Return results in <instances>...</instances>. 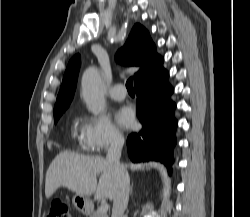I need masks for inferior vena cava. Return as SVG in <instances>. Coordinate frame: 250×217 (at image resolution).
I'll list each match as a JSON object with an SVG mask.
<instances>
[{
  "mask_svg": "<svg viewBox=\"0 0 250 217\" xmlns=\"http://www.w3.org/2000/svg\"><path fill=\"white\" fill-rule=\"evenodd\" d=\"M123 145L124 138L122 136L113 137L106 155V160L111 166L115 178L112 217H125L124 212L129 200V175L126 168L120 164Z\"/></svg>",
  "mask_w": 250,
  "mask_h": 217,
  "instance_id": "1",
  "label": "inferior vena cava"
}]
</instances>
